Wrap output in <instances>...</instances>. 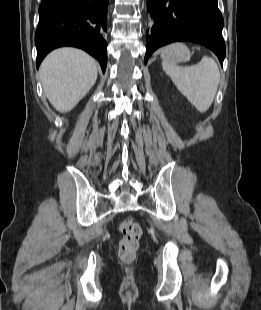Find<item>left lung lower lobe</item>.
Segmentation results:
<instances>
[{
  "mask_svg": "<svg viewBox=\"0 0 261 310\" xmlns=\"http://www.w3.org/2000/svg\"><path fill=\"white\" fill-rule=\"evenodd\" d=\"M218 0H147L153 26L147 30L145 64L159 47L175 41H192L211 49L221 64L226 49L223 17Z\"/></svg>",
  "mask_w": 261,
  "mask_h": 310,
  "instance_id": "0a47b994",
  "label": "left lung lower lobe"
}]
</instances>
